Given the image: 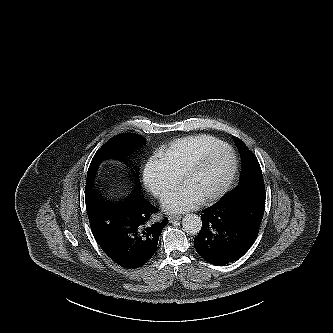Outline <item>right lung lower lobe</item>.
Returning a JSON list of instances; mask_svg holds the SVG:
<instances>
[{"mask_svg": "<svg viewBox=\"0 0 333 333\" xmlns=\"http://www.w3.org/2000/svg\"><path fill=\"white\" fill-rule=\"evenodd\" d=\"M86 210L94 238L106 255L131 269L143 266L155 253L168 219L149 224L157 208L137 193L109 201L94 191L85 193Z\"/></svg>", "mask_w": 333, "mask_h": 333, "instance_id": "1", "label": "right lung lower lobe"}]
</instances>
